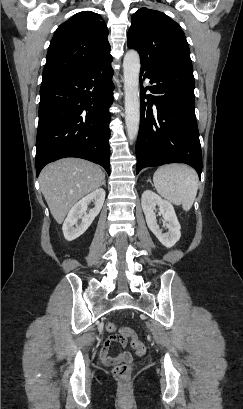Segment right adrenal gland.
Instances as JSON below:
<instances>
[{
  "mask_svg": "<svg viewBox=\"0 0 243 409\" xmlns=\"http://www.w3.org/2000/svg\"><path fill=\"white\" fill-rule=\"evenodd\" d=\"M102 185H103V186H106L105 178H104L103 181H102Z\"/></svg>",
  "mask_w": 243,
  "mask_h": 409,
  "instance_id": "right-adrenal-gland-1",
  "label": "right adrenal gland"
}]
</instances>
